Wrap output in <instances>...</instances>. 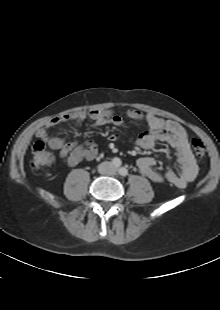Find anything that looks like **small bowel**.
I'll return each instance as SVG.
<instances>
[{
  "mask_svg": "<svg viewBox=\"0 0 220 310\" xmlns=\"http://www.w3.org/2000/svg\"><path fill=\"white\" fill-rule=\"evenodd\" d=\"M125 118L136 121L145 120L147 122L148 129L137 138L140 147L150 149L156 141H162L176 150L178 164L176 171L167 170L161 173L155 169L157 162L154 158L142 157L138 159V169L145 177L156 183L168 181L177 188H185L196 178L198 166L186 130L176 121L165 120L152 113H143L138 109H127L124 115L117 114L110 109H101L56 116L39 128L36 136L51 149L58 151L60 158L66 165L73 167L83 161L94 160L98 156L97 145L91 140L79 143L50 136V129L63 122L74 121L79 125L86 120H90L94 126L105 124L118 126L123 124ZM108 138L111 142H115L119 139V136L110 134Z\"/></svg>",
  "mask_w": 220,
  "mask_h": 310,
  "instance_id": "1",
  "label": "small bowel"
}]
</instances>
